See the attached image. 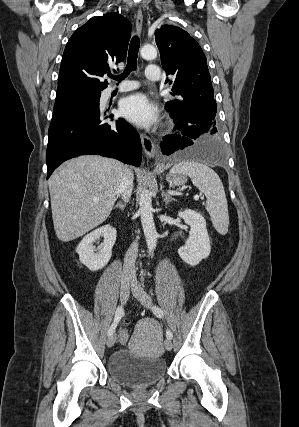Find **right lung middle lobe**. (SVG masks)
<instances>
[{
  "label": "right lung middle lobe",
  "instance_id": "dd1d6c3e",
  "mask_svg": "<svg viewBox=\"0 0 299 427\" xmlns=\"http://www.w3.org/2000/svg\"><path fill=\"white\" fill-rule=\"evenodd\" d=\"M96 97H100V93L92 94V95L84 96V97H80V98H76V99L65 101V102L56 103L55 106H54V108L61 107V106H64V105H68V104H72L74 102L85 100V99H88V98H96Z\"/></svg>",
  "mask_w": 299,
  "mask_h": 427
}]
</instances>
